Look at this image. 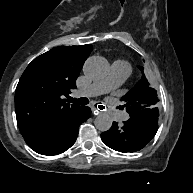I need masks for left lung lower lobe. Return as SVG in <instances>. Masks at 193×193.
Listing matches in <instances>:
<instances>
[{
  "mask_svg": "<svg viewBox=\"0 0 193 193\" xmlns=\"http://www.w3.org/2000/svg\"><path fill=\"white\" fill-rule=\"evenodd\" d=\"M158 111L140 110L118 127L113 122L110 130L101 134L102 141L110 148L120 152H135L154 137L158 128Z\"/></svg>",
  "mask_w": 193,
  "mask_h": 193,
  "instance_id": "1",
  "label": "left lung lower lobe"
}]
</instances>
